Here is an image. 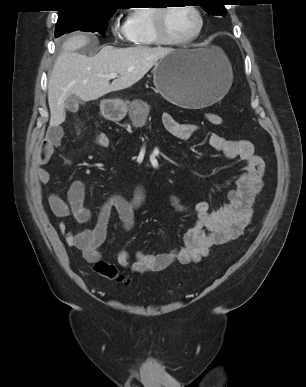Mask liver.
<instances>
[{"label":"liver","instance_id":"6515ba94","mask_svg":"<svg viewBox=\"0 0 306 387\" xmlns=\"http://www.w3.org/2000/svg\"><path fill=\"white\" fill-rule=\"evenodd\" d=\"M90 42L83 34L73 35L62 45L48 82L50 126L65 121L64 103L74 95L83 101L96 100L107 93L131 87L166 54L171 48L144 46L115 48L106 45L88 57L77 51ZM118 77L110 83L107 76Z\"/></svg>","mask_w":306,"mask_h":387}]
</instances>
